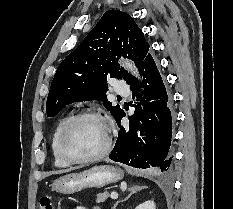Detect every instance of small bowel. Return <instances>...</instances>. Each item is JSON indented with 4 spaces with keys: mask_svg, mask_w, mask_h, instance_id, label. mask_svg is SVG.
Here are the masks:
<instances>
[{
    "mask_svg": "<svg viewBox=\"0 0 233 209\" xmlns=\"http://www.w3.org/2000/svg\"><path fill=\"white\" fill-rule=\"evenodd\" d=\"M74 209H86L85 207H82V206H77L75 207Z\"/></svg>",
    "mask_w": 233,
    "mask_h": 209,
    "instance_id": "obj_1",
    "label": "small bowel"
}]
</instances>
